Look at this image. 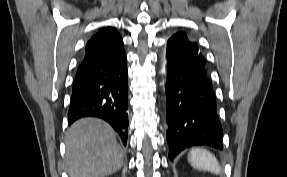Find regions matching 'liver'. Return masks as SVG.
Here are the masks:
<instances>
[{"label":"liver","instance_id":"6515ba94","mask_svg":"<svg viewBox=\"0 0 287 177\" xmlns=\"http://www.w3.org/2000/svg\"><path fill=\"white\" fill-rule=\"evenodd\" d=\"M65 161L70 177H105L123 164V149L116 133L96 118L76 121L66 134Z\"/></svg>","mask_w":287,"mask_h":177}]
</instances>
